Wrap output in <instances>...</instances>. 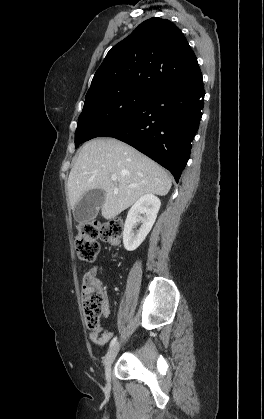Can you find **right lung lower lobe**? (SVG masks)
Wrapping results in <instances>:
<instances>
[{
  "instance_id": "1",
  "label": "right lung lower lobe",
  "mask_w": 264,
  "mask_h": 419,
  "mask_svg": "<svg viewBox=\"0 0 264 419\" xmlns=\"http://www.w3.org/2000/svg\"><path fill=\"white\" fill-rule=\"evenodd\" d=\"M202 78L155 91L127 119L99 137L119 139L168 169L178 182L202 117Z\"/></svg>"
}]
</instances>
